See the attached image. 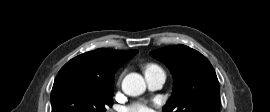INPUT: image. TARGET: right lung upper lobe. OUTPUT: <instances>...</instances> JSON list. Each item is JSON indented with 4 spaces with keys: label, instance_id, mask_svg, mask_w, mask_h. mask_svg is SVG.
I'll return each instance as SVG.
<instances>
[{
    "label": "right lung upper lobe",
    "instance_id": "1",
    "mask_svg": "<svg viewBox=\"0 0 270 112\" xmlns=\"http://www.w3.org/2000/svg\"><path fill=\"white\" fill-rule=\"evenodd\" d=\"M137 52V50L122 51L105 48L86 52L67 62L56 78L75 76L114 84V76L118 68Z\"/></svg>",
    "mask_w": 270,
    "mask_h": 112
}]
</instances>
